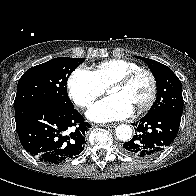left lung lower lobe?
Wrapping results in <instances>:
<instances>
[{
  "instance_id": "1",
  "label": "left lung lower lobe",
  "mask_w": 196,
  "mask_h": 196,
  "mask_svg": "<svg viewBox=\"0 0 196 196\" xmlns=\"http://www.w3.org/2000/svg\"><path fill=\"white\" fill-rule=\"evenodd\" d=\"M180 122L181 117L168 112L146 114L132 124L136 135L123 144V151L141 158L158 155L176 138Z\"/></svg>"
}]
</instances>
